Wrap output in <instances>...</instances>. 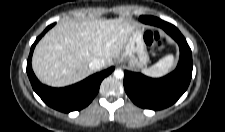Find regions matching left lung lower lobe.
<instances>
[{
    "label": "left lung lower lobe",
    "instance_id": "left-lung-lower-lobe-1",
    "mask_svg": "<svg viewBox=\"0 0 225 132\" xmlns=\"http://www.w3.org/2000/svg\"><path fill=\"white\" fill-rule=\"evenodd\" d=\"M140 20L162 28L180 48L177 68L162 78L153 79L141 73L124 71V88L130 99L141 108L160 110L174 104L187 90L193 68L191 49L174 25L153 16H141Z\"/></svg>",
    "mask_w": 225,
    "mask_h": 132
}]
</instances>
